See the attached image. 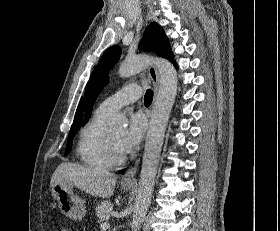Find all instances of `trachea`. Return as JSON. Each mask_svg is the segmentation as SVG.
<instances>
[{
  "label": "trachea",
  "mask_w": 280,
  "mask_h": 231,
  "mask_svg": "<svg viewBox=\"0 0 280 231\" xmlns=\"http://www.w3.org/2000/svg\"><path fill=\"white\" fill-rule=\"evenodd\" d=\"M153 99V91L152 90H147L144 96V102L146 106H149L152 102Z\"/></svg>",
  "instance_id": "trachea-1"
}]
</instances>
